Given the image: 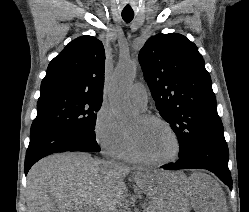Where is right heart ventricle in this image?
I'll use <instances>...</instances> for the list:
<instances>
[{
  "instance_id": "1",
  "label": "right heart ventricle",
  "mask_w": 249,
  "mask_h": 212,
  "mask_svg": "<svg viewBox=\"0 0 249 212\" xmlns=\"http://www.w3.org/2000/svg\"><path fill=\"white\" fill-rule=\"evenodd\" d=\"M124 158L126 160H131V156H130L129 150L126 151Z\"/></svg>"
}]
</instances>
